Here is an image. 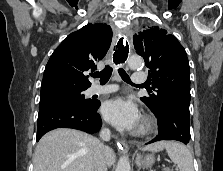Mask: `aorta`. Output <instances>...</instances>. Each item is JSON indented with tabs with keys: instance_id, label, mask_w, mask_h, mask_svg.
Segmentation results:
<instances>
[{
	"instance_id": "1",
	"label": "aorta",
	"mask_w": 223,
	"mask_h": 171,
	"mask_svg": "<svg viewBox=\"0 0 223 171\" xmlns=\"http://www.w3.org/2000/svg\"><path fill=\"white\" fill-rule=\"evenodd\" d=\"M128 65L132 69H138L142 67L143 60L140 56H131L128 59ZM116 171H131L129 158L127 156H123L119 159Z\"/></svg>"
}]
</instances>
